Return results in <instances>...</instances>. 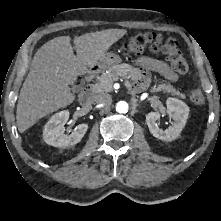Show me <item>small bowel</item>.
<instances>
[{"label": "small bowel", "mask_w": 221, "mask_h": 221, "mask_svg": "<svg viewBox=\"0 0 221 221\" xmlns=\"http://www.w3.org/2000/svg\"><path fill=\"white\" fill-rule=\"evenodd\" d=\"M136 64L142 72L141 81L138 85V88H145L150 84L148 71L157 72L167 81L174 82L178 80V74L173 71L164 61L144 56L138 58L136 60ZM155 88L161 89L162 85H156Z\"/></svg>", "instance_id": "1"}]
</instances>
